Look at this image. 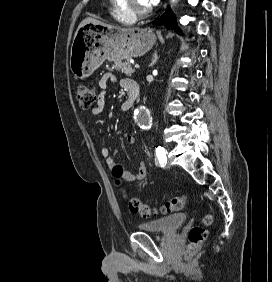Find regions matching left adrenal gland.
Here are the masks:
<instances>
[{
	"instance_id": "a2214340",
	"label": "left adrenal gland",
	"mask_w": 272,
	"mask_h": 282,
	"mask_svg": "<svg viewBox=\"0 0 272 282\" xmlns=\"http://www.w3.org/2000/svg\"><path fill=\"white\" fill-rule=\"evenodd\" d=\"M158 59H159V56L157 55V51H154L149 67H151L154 64H156Z\"/></svg>"
}]
</instances>
